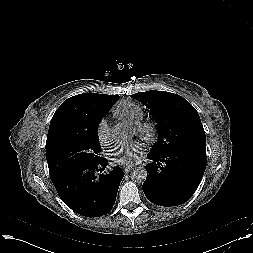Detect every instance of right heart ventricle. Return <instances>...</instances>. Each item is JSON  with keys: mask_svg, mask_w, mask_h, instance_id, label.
Listing matches in <instances>:
<instances>
[{"mask_svg": "<svg viewBox=\"0 0 253 253\" xmlns=\"http://www.w3.org/2000/svg\"><path fill=\"white\" fill-rule=\"evenodd\" d=\"M113 113L115 117L130 125H136L143 119L144 116L142 107L130 100H123L119 102Z\"/></svg>", "mask_w": 253, "mask_h": 253, "instance_id": "obj_1", "label": "right heart ventricle"}]
</instances>
